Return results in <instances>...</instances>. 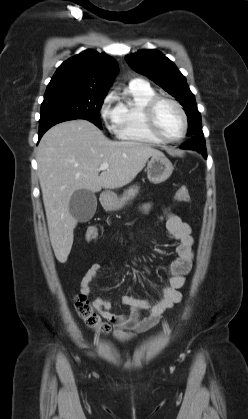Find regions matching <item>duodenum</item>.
<instances>
[{
	"label": "duodenum",
	"instance_id": "duodenum-1",
	"mask_svg": "<svg viewBox=\"0 0 248 419\" xmlns=\"http://www.w3.org/2000/svg\"><path fill=\"white\" fill-rule=\"evenodd\" d=\"M104 198H105V199H108V198H109V195H108V194H105V195H104Z\"/></svg>",
	"mask_w": 248,
	"mask_h": 419
}]
</instances>
